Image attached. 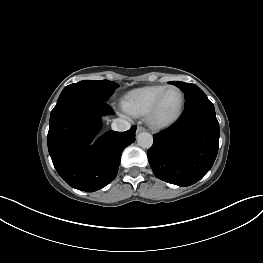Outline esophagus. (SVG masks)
Here are the masks:
<instances>
[{"label": "esophagus", "instance_id": "esophagus-1", "mask_svg": "<svg viewBox=\"0 0 263 263\" xmlns=\"http://www.w3.org/2000/svg\"><path fill=\"white\" fill-rule=\"evenodd\" d=\"M145 130H146V129H145L144 127L138 126V127H137V130H136V133L138 134V133L144 132Z\"/></svg>", "mask_w": 263, "mask_h": 263}]
</instances>
